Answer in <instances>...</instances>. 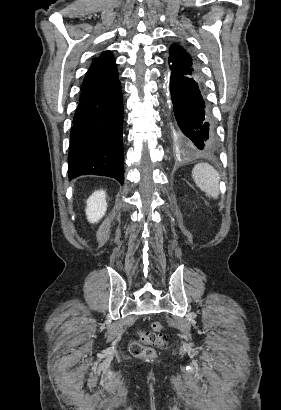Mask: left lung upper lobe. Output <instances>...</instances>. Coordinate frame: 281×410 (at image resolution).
Segmentation results:
<instances>
[{"label": "left lung upper lobe", "mask_w": 281, "mask_h": 410, "mask_svg": "<svg viewBox=\"0 0 281 410\" xmlns=\"http://www.w3.org/2000/svg\"><path fill=\"white\" fill-rule=\"evenodd\" d=\"M169 72L201 79V71L195 58L182 46L172 44L169 49Z\"/></svg>", "instance_id": "1"}]
</instances>
